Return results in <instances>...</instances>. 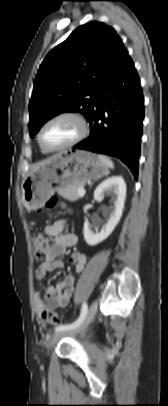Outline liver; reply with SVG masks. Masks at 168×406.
Segmentation results:
<instances>
[{"label": "liver", "instance_id": "6515ba94", "mask_svg": "<svg viewBox=\"0 0 168 406\" xmlns=\"http://www.w3.org/2000/svg\"><path fill=\"white\" fill-rule=\"evenodd\" d=\"M52 159H53V157L50 158V159L44 160V161H42V162H39L38 164H36V165L34 166L33 171L36 170V169H38V168H40L41 166H43V165L49 163Z\"/></svg>", "mask_w": 168, "mask_h": 406}]
</instances>
